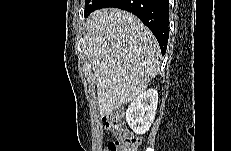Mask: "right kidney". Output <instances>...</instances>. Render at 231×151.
<instances>
[{"mask_svg": "<svg viewBox=\"0 0 231 151\" xmlns=\"http://www.w3.org/2000/svg\"><path fill=\"white\" fill-rule=\"evenodd\" d=\"M157 104V90L149 89L128 106L126 121L136 134H144L149 130L156 114Z\"/></svg>", "mask_w": 231, "mask_h": 151, "instance_id": "ca27d5eb", "label": "right kidney"}]
</instances>
